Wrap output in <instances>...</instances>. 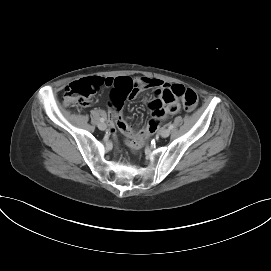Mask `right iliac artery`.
<instances>
[{
	"mask_svg": "<svg viewBox=\"0 0 271 271\" xmlns=\"http://www.w3.org/2000/svg\"><path fill=\"white\" fill-rule=\"evenodd\" d=\"M100 121H101V122H104V121H105V119L102 117V118H100Z\"/></svg>",
	"mask_w": 271,
	"mask_h": 271,
	"instance_id": "82829eb1",
	"label": "right iliac artery"
}]
</instances>
